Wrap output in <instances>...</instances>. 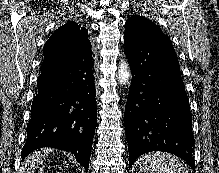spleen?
<instances>
[{"label": "spleen", "mask_w": 219, "mask_h": 173, "mask_svg": "<svg viewBox=\"0 0 219 173\" xmlns=\"http://www.w3.org/2000/svg\"><path fill=\"white\" fill-rule=\"evenodd\" d=\"M137 163L144 173H188L178 158L162 152L147 153Z\"/></svg>", "instance_id": "spleen-1"}]
</instances>
